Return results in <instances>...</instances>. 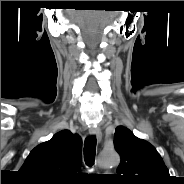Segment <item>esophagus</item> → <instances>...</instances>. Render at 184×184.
Returning a JSON list of instances; mask_svg holds the SVG:
<instances>
[{
	"label": "esophagus",
	"mask_w": 184,
	"mask_h": 184,
	"mask_svg": "<svg viewBox=\"0 0 184 184\" xmlns=\"http://www.w3.org/2000/svg\"><path fill=\"white\" fill-rule=\"evenodd\" d=\"M89 133L93 136H96L99 140L102 138V133L101 129L99 127H90L89 128Z\"/></svg>",
	"instance_id": "1"
}]
</instances>
